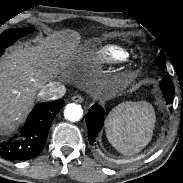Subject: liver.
Wrapping results in <instances>:
<instances>
[{
    "label": "liver",
    "mask_w": 183,
    "mask_h": 183,
    "mask_svg": "<svg viewBox=\"0 0 183 183\" xmlns=\"http://www.w3.org/2000/svg\"><path fill=\"white\" fill-rule=\"evenodd\" d=\"M80 39L76 33L54 35L13 50L0 62V131L10 133L52 73L80 57Z\"/></svg>",
    "instance_id": "obj_1"
}]
</instances>
